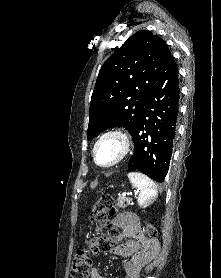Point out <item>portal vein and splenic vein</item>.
Instances as JSON below:
<instances>
[{
    "instance_id": "obj_1",
    "label": "portal vein and splenic vein",
    "mask_w": 221,
    "mask_h": 278,
    "mask_svg": "<svg viewBox=\"0 0 221 278\" xmlns=\"http://www.w3.org/2000/svg\"><path fill=\"white\" fill-rule=\"evenodd\" d=\"M123 196H126V193H123ZM130 201H131V199L130 198H128Z\"/></svg>"
}]
</instances>
